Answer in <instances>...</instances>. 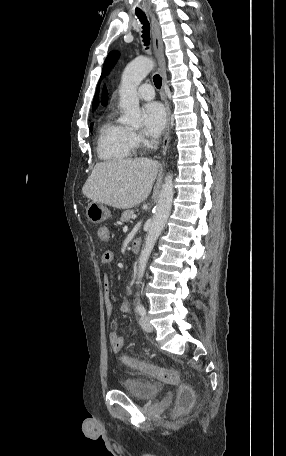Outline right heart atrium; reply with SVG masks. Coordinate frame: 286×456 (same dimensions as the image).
Wrapping results in <instances>:
<instances>
[{"label": "right heart atrium", "mask_w": 286, "mask_h": 456, "mask_svg": "<svg viewBox=\"0 0 286 456\" xmlns=\"http://www.w3.org/2000/svg\"><path fill=\"white\" fill-rule=\"evenodd\" d=\"M132 137L135 141L136 144H142L143 143V138L142 136L137 133V132H132Z\"/></svg>", "instance_id": "d8ad5b80"}]
</instances>
